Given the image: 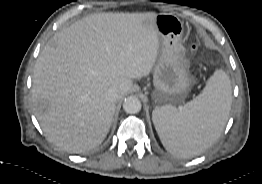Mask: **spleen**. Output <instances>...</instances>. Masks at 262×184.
Listing matches in <instances>:
<instances>
[{
  "label": "spleen",
  "mask_w": 262,
  "mask_h": 184,
  "mask_svg": "<svg viewBox=\"0 0 262 184\" xmlns=\"http://www.w3.org/2000/svg\"><path fill=\"white\" fill-rule=\"evenodd\" d=\"M232 104L229 76L216 70L202 93L178 109L157 107L152 120L165 149L181 158L194 157L211 147L228 121Z\"/></svg>",
  "instance_id": "obj_1"
}]
</instances>
